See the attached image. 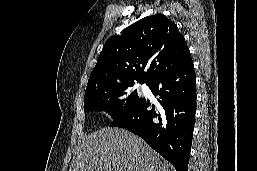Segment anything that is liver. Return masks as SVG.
<instances>
[{"instance_id":"6515ba94","label":"liver","mask_w":257,"mask_h":171,"mask_svg":"<svg viewBox=\"0 0 257 171\" xmlns=\"http://www.w3.org/2000/svg\"><path fill=\"white\" fill-rule=\"evenodd\" d=\"M69 171H169V168L141 138L121 128H102L84 138Z\"/></svg>"}]
</instances>
